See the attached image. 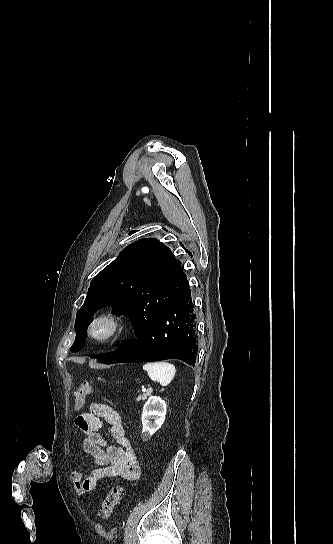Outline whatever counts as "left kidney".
<instances>
[{
	"mask_svg": "<svg viewBox=\"0 0 333 544\" xmlns=\"http://www.w3.org/2000/svg\"><path fill=\"white\" fill-rule=\"evenodd\" d=\"M167 405L162 398L151 396L144 404L141 416L142 434L144 441L149 440L158 431L165 421Z\"/></svg>",
	"mask_w": 333,
	"mask_h": 544,
	"instance_id": "left-kidney-1",
	"label": "left kidney"
}]
</instances>
